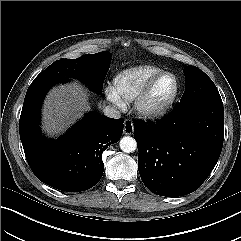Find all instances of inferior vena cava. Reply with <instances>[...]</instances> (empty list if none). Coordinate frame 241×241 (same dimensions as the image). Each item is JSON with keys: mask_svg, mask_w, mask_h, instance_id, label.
Wrapping results in <instances>:
<instances>
[{"mask_svg": "<svg viewBox=\"0 0 241 241\" xmlns=\"http://www.w3.org/2000/svg\"><path fill=\"white\" fill-rule=\"evenodd\" d=\"M103 112H104V115L109 118L119 119L121 117L120 112L117 110V108H115L113 106H106L103 109Z\"/></svg>", "mask_w": 241, "mask_h": 241, "instance_id": "1", "label": "inferior vena cava"}]
</instances>
